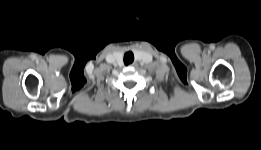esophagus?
Listing matches in <instances>:
<instances>
[{"instance_id": "obj_1", "label": "esophagus", "mask_w": 261, "mask_h": 150, "mask_svg": "<svg viewBox=\"0 0 261 150\" xmlns=\"http://www.w3.org/2000/svg\"><path fill=\"white\" fill-rule=\"evenodd\" d=\"M134 65H135V63L131 64L130 66H134Z\"/></svg>"}]
</instances>
